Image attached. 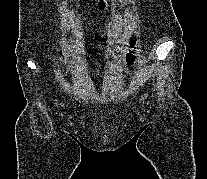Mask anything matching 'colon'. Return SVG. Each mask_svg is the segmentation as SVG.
I'll use <instances>...</instances> for the list:
<instances>
[{
    "label": "colon",
    "instance_id": "5ec220e1",
    "mask_svg": "<svg viewBox=\"0 0 207 179\" xmlns=\"http://www.w3.org/2000/svg\"><path fill=\"white\" fill-rule=\"evenodd\" d=\"M97 6L100 9H104L106 4H107V0H97ZM97 39L100 41H103L105 39V36L103 34H100L97 36ZM128 63H132L133 62V57L131 55L128 56Z\"/></svg>",
    "mask_w": 207,
    "mask_h": 179
}]
</instances>
